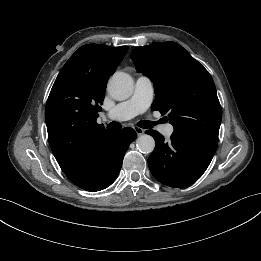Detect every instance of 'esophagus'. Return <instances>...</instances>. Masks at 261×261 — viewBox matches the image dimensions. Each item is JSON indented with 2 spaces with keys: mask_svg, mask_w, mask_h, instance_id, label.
Returning <instances> with one entry per match:
<instances>
[{
  "mask_svg": "<svg viewBox=\"0 0 261 261\" xmlns=\"http://www.w3.org/2000/svg\"><path fill=\"white\" fill-rule=\"evenodd\" d=\"M134 130H135V132H136V134H137L138 136L143 135L144 132H145V130L142 129V128H140V127H135Z\"/></svg>",
  "mask_w": 261,
  "mask_h": 261,
  "instance_id": "1",
  "label": "esophagus"
}]
</instances>
